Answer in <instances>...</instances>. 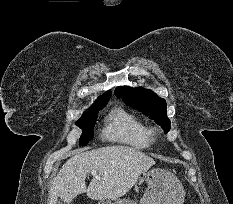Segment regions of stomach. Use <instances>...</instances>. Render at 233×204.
<instances>
[{
  "label": "stomach",
  "instance_id": "0dacf381",
  "mask_svg": "<svg viewBox=\"0 0 233 204\" xmlns=\"http://www.w3.org/2000/svg\"><path fill=\"white\" fill-rule=\"evenodd\" d=\"M141 181L147 184L139 204H183L185 191L171 172L153 168L143 171ZM98 204H136L129 199L102 200Z\"/></svg>",
  "mask_w": 233,
  "mask_h": 204
}]
</instances>
